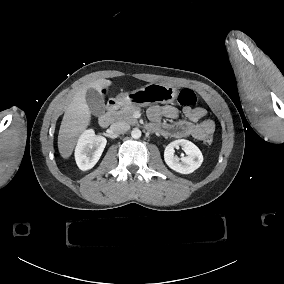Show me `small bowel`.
Masks as SVG:
<instances>
[{
	"label": "small bowel",
	"mask_w": 284,
	"mask_h": 284,
	"mask_svg": "<svg viewBox=\"0 0 284 284\" xmlns=\"http://www.w3.org/2000/svg\"><path fill=\"white\" fill-rule=\"evenodd\" d=\"M186 120H178L180 111L172 105H155L148 110L151 126L161 134L171 138L193 137L205 140L212 136L215 124L205 119L206 110L201 107L183 109ZM163 118L174 120L173 123L163 122Z\"/></svg>",
	"instance_id": "c3829d8e"
}]
</instances>
